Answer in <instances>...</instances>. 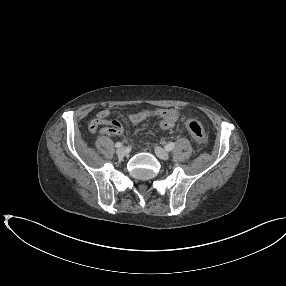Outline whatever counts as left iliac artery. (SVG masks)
I'll use <instances>...</instances> for the list:
<instances>
[{
  "mask_svg": "<svg viewBox=\"0 0 286 286\" xmlns=\"http://www.w3.org/2000/svg\"><path fill=\"white\" fill-rule=\"evenodd\" d=\"M174 148V143L170 142L169 144L166 145V150L171 151Z\"/></svg>",
  "mask_w": 286,
  "mask_h": 286,
  "instance_id": "1",
  "label": "left iliac artery"
}]
</instances>
